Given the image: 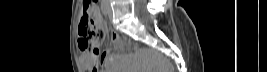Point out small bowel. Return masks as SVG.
I'll use <instances>...</instances> for the list:
<instances>
[{
  "label": "small bowel",
  "instance_id": "obj_1",
  "mask_svg": "<svg viewBox=\"0 0 267 72\" xmlns=\"http://www.w3.org/2000/svg\"><path fill=\"white\" fill-rule=\"evenodd\" d=\"M96 11L98 13V9L96 8ZM119 41L118 37L116 35L112 36V42L114 44H117ZM111 60V56L108 49H105L103 51H100L97 49L95 52L91 53H84L81 56V61L83 65L91 72H98L97 63H100L103 67L100 72H109L107 65L109 64Z\"/></svg>",
  "mask_w": 267,
  "mask_h": 72
}]
</instances>
